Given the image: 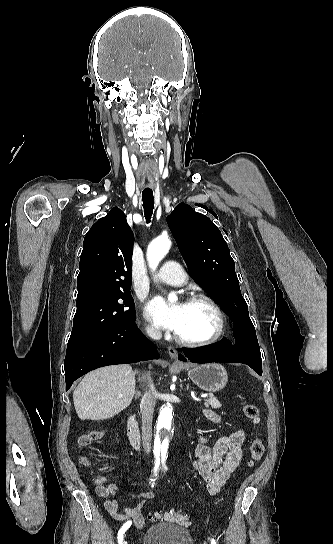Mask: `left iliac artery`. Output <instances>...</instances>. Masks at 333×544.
Listing matches in <instances>:
<instances>
[{"label": "left iliac artery", "instance_id": "left-iliac-artery-1", "mask_svg": "<svg viewBox=\"0 0 333 544\" xmlns=\"http://www.w3.org/2000/svg\"><path fill=\"white\" fill-rule=\"evenodd\" d=\"M163 468H164V470H167V467H166L165 464L163 465ZM211 544H217V542L215 541V539H211Z\"/></svg>", "mask_w": 333, "mask_h": 544}]
</instances>
